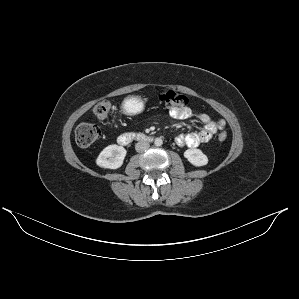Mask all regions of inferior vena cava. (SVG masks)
<instances>
[{"label": "inferior vena cava", "instance_id": "1", "mask_svg": "<svg viewBox=\"0 0 299 299\" xmlns=\"http://www.w3.org/2000/svg\"><path fill=\"white\" fill-rule=\"evenodd\" d=\"M149 143L145 141H140L135 145V149L137 152H143L149 148Z\"/></svg>", "mask_w": 299, "mask_h": 299}]
</instances>
